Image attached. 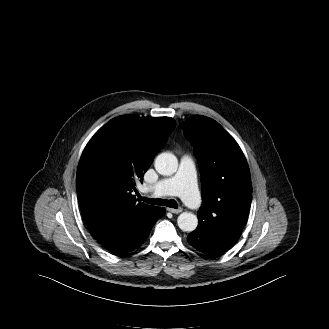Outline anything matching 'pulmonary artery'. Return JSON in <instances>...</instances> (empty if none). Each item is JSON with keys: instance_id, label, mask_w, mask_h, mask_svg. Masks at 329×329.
Instances as JSON below:
<instances>
[{"instance_id": "1", "label": "pulmonary artery", "mask_w": 329, "mask_h": 329, "mask_svg": "<svg viewBox=\"0 0 329 329\" xmlns=\"http://www.w3.org/2000/svg\"><path fill=\"white\" fill-rule=\"evenodd\" d=\"M154 195H178L192 209H199L201 197L196 185V172L193 159L184 155L180 159L175 175L160 179L152 188Z\"/></svg>"}]
</instances>
